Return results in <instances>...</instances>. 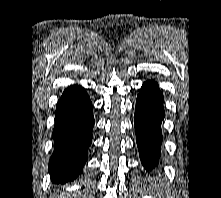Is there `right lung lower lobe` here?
Instances as JSON below:
<instances>
[{"label": "right lung lower lobe", "instance_id": "right-lung-lower-lobe-1", "mask_svg": "<svg viewBox=\"0 0 221 198\" xmlns=\"http://www.w3.org/2000/svg\"><path fill=\"white\" fill-rule=\"evenodd\" d=\"M93 108L86 91L78 85L63 92L56 108L52 138L55 150L48 171L56 184L73 181L81 174L92 142Z\"/></svg>", "mask_w": 221, "mask_h": 198}]
</instances>
